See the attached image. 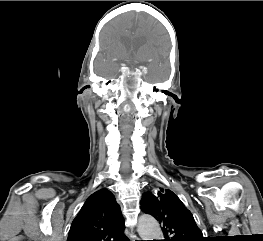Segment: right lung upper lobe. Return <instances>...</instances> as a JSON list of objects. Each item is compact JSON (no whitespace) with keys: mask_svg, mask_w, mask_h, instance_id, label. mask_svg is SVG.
<instances>
[{"mask_svg":"<svg viewBox=\"0 0 263 241\" xmlns=\"http://www.w3.org/2000/svg\"><path fill=\"white\" fill-rule=\"evenodd\" d=\"M114 195L101 189L90 195L73 220L67 241H129Z\"/></svg>","mask_w":263,"mask_h":241,"instance_id":"1","label":"right lung upper lobe"}]
</instances>
